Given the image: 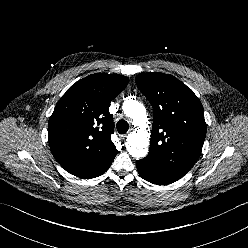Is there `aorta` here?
<instances>
[{
    "label": "aorta",
    "mask_w": 248,
    "mask_h": 248,
    "mask_svg": "<svg viewBox=\"0 0 248 248\" xmlns=\"http://www.w3.org/2000/svg\"><path fill=\"white\" fill-rule=\"evenodd\" d=\"M124 114L133 120L138 130L133 131L127 137V150L132 157L143 158L147 155L149 145V133L145 130L147 114L145 107L136 100H126L122 105Z\"/></svg>",
    "instance_id": "762f6f07"
}]
</instances>
